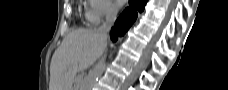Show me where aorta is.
Returning <instances> with one entry per match:
<instances>
[{
	"label": "aorta",
	"mask_w": 228,
	"mask_h": 90,
	"mask_svg": "<svg viewBox=\"0 0 228 90\" xmlns=\"http://www.w3.org/2000/svg\"><path fill=\"white\" fill-rule=\"evenodd\" d=\"M106 68L105 61H100L83 80L81 90H92Z\"/></svg>",
	"instance_id": "1"
}]
</instances>
